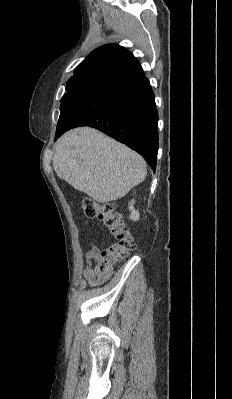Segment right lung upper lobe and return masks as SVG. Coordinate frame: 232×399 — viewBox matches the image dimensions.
Wrapping results in <instances>:
<instances>
[{"label": "right lung upper lobe", "instance_id": "obj_1", "mask_svg": "<svg viewBox=\"0 0 232 399\" xmlns=\"http://www.w3.org/2000/svg\"><path fill=\"white\" fill-rule=\"evenodd\" d=\"M138 64L139 61L127 49L116 44H107L92 51L75 69L74 75L68 81L76 79L103 81Z\"/></svg>", "mask_w": 232, "mask_h": 399}]
</instances>
